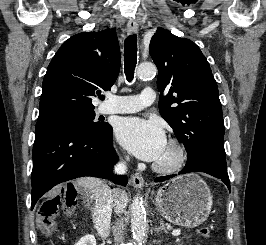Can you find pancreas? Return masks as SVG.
Here are the masks:
<instances>
[{
	"mask_svg": "<svg viewBox=\"0 0 266 245\" xmlns=\"http://www.w3.org/2000/svg\"><path fill=\"white\" fill-rule=\"evenodd\" d=\"M176 231H180V229H176Z\"/></svg>",
	"mask_w": 266,
	"mask_h": 245,
	"instance_id": "1",
	"label": "pancreas"
}]
</instances>
